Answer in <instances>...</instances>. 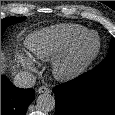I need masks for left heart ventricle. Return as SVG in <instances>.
Returning a JSON list of instances; mask_svg holds the SVG:
<instances>
[{
	"mask_svg": "<svg viewBox=\"0 0 115 115\" xmlns=\"http://www.w3.org/2000/svg\"><path fill=\"white\" fill-rule=\"evenodd\" d=\"M96 45V40L94 37H90L87 39L84 44L82 45V51L83 52H88L91 51Z\"/></svg>",
	"mask_w": 115,
	"mask_h": 115,
	"instance_id": "1",
	"label": "left heart ventricle"
}]
</instances>
